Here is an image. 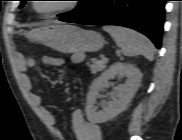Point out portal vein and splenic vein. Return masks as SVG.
Here are the masks:
<instances>
[{
	"instance_id": "1",
	"label": "portal vein and splenic vein",
	"mask_w": 182,
	"mask_h": 140,
	"mask_svg": "<svg viewBox=\"0 0 182 140\" xmlns=\"http://www.w3.org/2000/svg\"><path fill=\"white\" fill-rule=\"evenodd\" d=\"M102 61L107 62V58L105 56H102Z\"/></svg>"
}]
</instances>
